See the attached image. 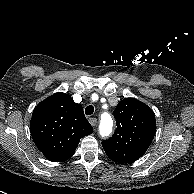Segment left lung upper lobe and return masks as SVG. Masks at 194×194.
<instances>
[{"label": "left lung upper lobe", "instance_id": "obj_1", "mask_svg": "<svg viewBox=\"0 0 194 194\" xmlns=\"http://www.w3.org/2000/svg\"><path fill=\"white\" fill-rule=\"evenodd\" d=\"M114 117L116 131L102 146L114 162H134L145 154L155 136V115L143 102L125 98L115 108Z\"/></svg>", "mask_w": 194, "mask_h": 194}]
</instances>
